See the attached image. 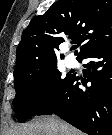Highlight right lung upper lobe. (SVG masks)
<instances>
[{
  "mask_svg": "<svg viewBox=\"0 0 112 135\" xmlns=\"http://www.w3.org/2000/svg\"><path fill=\"white\" fill-rule=\"evenodd\" d=\"M66 37L80 46V57L112 43V1L58 0L35 16L17 47L14 76L35 73L57 61L55 51Z\"/></svg>",
  "mask_w": 112,
  "mask_h": 135,
  "instance_id": "1",
  "label": "right lung upper lobe"
}]
</instances>
